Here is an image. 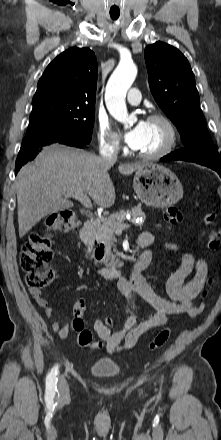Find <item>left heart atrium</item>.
I'll list each match as a JSON object with an SVG mask.
<instances>
[{
    "label": "left heart atrium",
    "mask_w": 221,
    "mask_h": 440,
    "mask_svg": "<svg viewBox=\"0 0 221 440\" xmlns=\"http://www.w3.org/2000/svg\"><path fill=\"white\" fill-rule=\"evenodd\" d=\"M147 131V122L140 120L125 134L126 142L134 149H140Z\"/></svg>",
    "instance_id": "obj_1"
}]
</instances>
